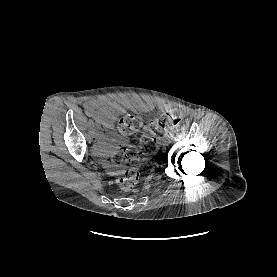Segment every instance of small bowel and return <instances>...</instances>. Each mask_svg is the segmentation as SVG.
Returning a JSON list of instances; mask_svg holds the SVG:
<instances>
[{"label": "small bowel", "mask_w": 277, "mask_h": 277, "mask_svg": "<svg viewBox=\"0 0 277 277\" xmlns=\"http://www.w3.org/2000/svg\"><path fill=\"white\" fill-rule=\"evenodd\" d=\"M123 105V102H115L104 98L89 99L85 102L84 109L86 114L95 121L99 128L104 130L98 134L100 141L97 146V151L99 153L107 152L104 147V142L110 137L109 132L113 128V123L117 115L121 112ZM139 107L145 111L156 110L159 113L168 112L171 110V108L167 105L155 106L148 102L139 104ZM117 140L122 141L123 137L119 136ZM105 166L110 169L112 165L111 163L106 162Z\"/></svg>", "instance_id": "1"}]
</instances>
